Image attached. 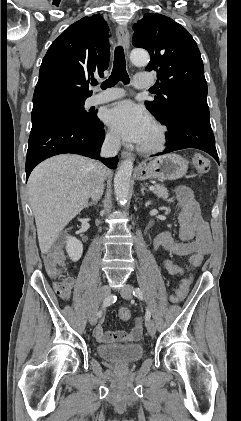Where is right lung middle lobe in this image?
Masks as SVG:
<instances>
[{"label": "right lung middle lobe", "mask_w": 241, "mask_h": 421, "mask_svg": "<svg viewBox=\"0 0 241 421\" xmlns=\"http://www.w3.org/2000/svg\"><path fill=\"white\" fill-rule=\"evenodd\" d=\"M85 100L73 101V100H58L45 102L36 106H33L32 120L47 115L56 111H71L76 115L77 119L82 123L94 124L96 116L94 113H89L84 110Z\"/></svg>", "instance_id": "1"}]
</instances>
